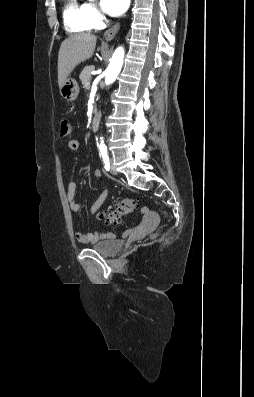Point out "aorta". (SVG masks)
Listing matches in <instances>:
<instances>
[{"label": "aorta", "mask_w": 254, "mask_h": 397, "mask_svg": "<svg viewBox=\"0 0 254 397\" xmlns=\"http://www.w3.org/2000/svg\"><path fill=\"white\" fill-rule=\"evenodd\" d=\"M123 59H124V49L122 47H119L115 50L111 58L110 64L106 69V75H105L106 85H109L115 81L123 65ZM103 144L104 141L103 138H101L100 145L103 146Z\"/></svg>", "instance_id": "762f6f07"}]
</instances>
